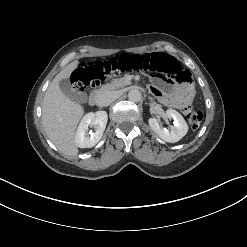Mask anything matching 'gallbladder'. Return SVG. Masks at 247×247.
Masks as SVG:
<instances>
[{
  "instance_id": "obj_1",
  "label": "gallbladder",
  "mask_w": 247,
  "mask_h": 247,
  "mask_svg": "<svg viewBox=\"0 0 247 247\" xmlns=\"http://www.w3.org/2000/svg\"><path fill=\"white\" fill-rule=\"evenodd\" d=\"M59 87L62 93L74 102L86 103L88 100V95L85 92L74 89L68 79L61 80L59 82Z\"/></svg>"
}]
</instances>
